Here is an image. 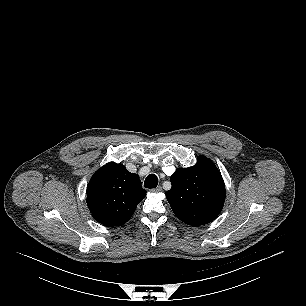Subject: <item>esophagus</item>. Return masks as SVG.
<instances>
[{
    "label": "esophagus",
    "mask_w": 306,
    "mask_h": 306,
    "mask_svg": "<svg viewBox=\"0 0 306 306\" xmlns=\"http://www.w3.org/2000/svg\"><path fill=\"white\" fill-rule=\"evenodd\" d=\"M153 192L158 193L162 191V187L161 186H157L156 188L152 189Z\"/></svg>",
    "instance_id": "obj_1"
}]
</instances>
